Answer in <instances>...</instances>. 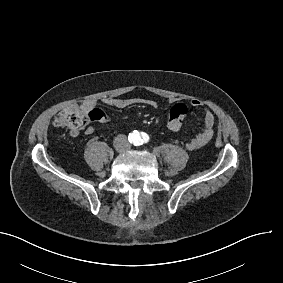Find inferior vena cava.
<instances>
[{"label":"inferior vena cava","mask_w":283,"mask_h":283,"mask_svg":"<svg viewBox=\"0 0 283 283\" xmlns=\"http://www.w3.org/2000/svg\"><path fill=\"white\" fill-rule=\"evenodd\" d=\"M120 140H121L122 143H123L124 149H126V148L129 147V143H128L127 138H126L125 135H118V136L115 138L114 143L116 144V143H117L118 141H120Z\"/></svg>","instance_id":"inferior-vena-cava-1"}]
</instances>
